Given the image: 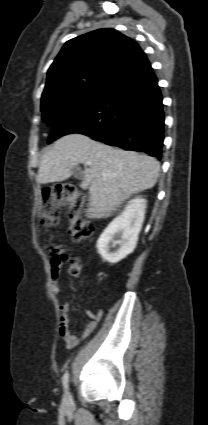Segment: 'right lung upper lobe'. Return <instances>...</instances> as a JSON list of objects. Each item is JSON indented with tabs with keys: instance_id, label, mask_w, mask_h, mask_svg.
<instances>
[{
	"instance_id": "obj_1",
	"label": "right lung upper lobe",
	"mask_w": 208,
	"mask_h": 425,
	"mask_svg": "<svg viewBox=\"0 0 208 425\" xmlns=\"http://www.w3.org/2000/svg\"><path fill=\"white\" fill-rule=\"evenodd\" d=\"M145 56L131 38L111 28L98 29L65 43L47 73L41 102L108 85Z\"/></svg>"
}]
</instances>
